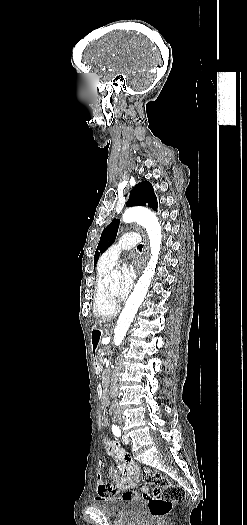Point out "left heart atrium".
Returning a JSON list of instances; mask_svg holds the SVG:
<instances>
[{"instance_id":"39dd6f15","label":"left heart atrium","mask_w":247,"mask_h":525,"mask_svg":"<svg viewBox=\"0 0 247 525\" xmlns=\"http://www.w3.org/2000/svg\"><path fill=\"white\" fill-rule=\"evenodd\" d=\"M140 256L141 254L131 253L130 260L135 265H137L140 269H143L147 266V264H141ZM122 275H123V280L117 292V296L120 299H123L124 297H126L127 294L130 292L133 286L134 279H135V270H123Z\"/></svg>"}]
</instances>
